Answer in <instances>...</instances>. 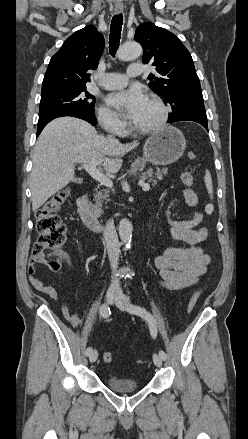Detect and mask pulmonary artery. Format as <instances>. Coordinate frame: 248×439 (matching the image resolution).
Returning a JSON list of instances; mask_svg holds the SVG:
<instances>
[{
	"instance_id": "obj_1",
	"label": "pulmonary artery",
	"mask_w": 248,
	"mask_h": 439,
	"mask_svg": "<svg viewBox=\"0 0 248 439\" xmlns=\"http://www.w3.org/2000/svg\"><path fill=\"white\" fill-rule=\"evenodd\" d=\"M142 74V67L139 63H133L127 70V75L122 73H105L101 75L99 86L107 89H118L124 87L128 82V77H138Z\"/></svg>"
}]
</instances>
